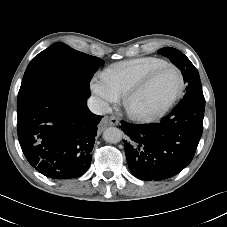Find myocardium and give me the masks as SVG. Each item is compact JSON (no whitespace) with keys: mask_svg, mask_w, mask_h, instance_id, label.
Masks as SVG:
<instances>
[{"mask_svg":"<svg viewBox=\"0 0 227 227\" xmlns=\"http://www.w3.org/2000/svg\"><path fill=\"white\" fill-rule=\"evenodd\" d=\"M169 68L176 70L179 75V87L176 93L173 95V97L161 109H159L156 112L139 113V112L133 111L130 108L131 101L141 92H143L159 73ZM184 85H185L184 75L181 69L174 64L168 63L164 66L158 67L155 70L151 71L140 82H138L129 91H127L123 96V106L126 112L128 113V115L135 120L144 121V122L157 120L163 117L172 108V106L176 103V101L180 98L184 90Z\"/></svg>","mask_w":227,"mask_h":227,"instance_id":"myocardium-1","label":"myocardium"}]
</instances>
